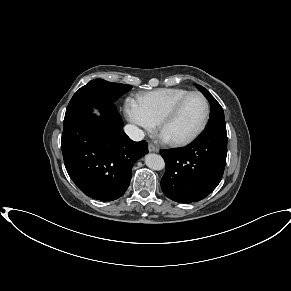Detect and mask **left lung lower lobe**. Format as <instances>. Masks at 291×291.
<instances>
[{"instance_id": "1", "label": "left lung lower lobe", "mask_w": 291, "mask_h": 291, "mask_svg": "<svg viewBox=\"0 0 291 291\" xmlns=\"http://www.w3.org/2000/svg\"><path fill=\"white\" fill-rule=\"evenodd\" d=\"M166 170L161 180L164 194L180 203L208 196L222 179L227 156L226 126L208 127L190 145L161 150Z\"/></svg>"}]
</instances>
